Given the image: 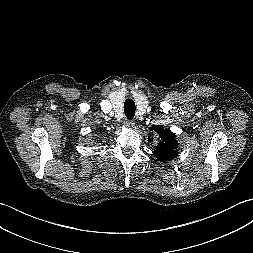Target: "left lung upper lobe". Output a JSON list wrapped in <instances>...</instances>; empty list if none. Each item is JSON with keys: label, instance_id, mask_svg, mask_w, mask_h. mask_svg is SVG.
I'll return each mask as SVG.
<instances>
[{"label": "left lung upper lobe", "instance_id": "left-lung-upper-lobe-1", "mask_svg": "<svg viewBox=\"0 0 253 253\" xmlns=\"http://www.w3.org/2000/svg\"><path fill=\"white\" fill-rule=\"evenodd\" d=\"M160 136V141L155 150L153 151L155 157L159 161H169L174 159L177 156L179 145L178 141L175 139V134L170 130L165 129L162 125H156L151 128ZM153 138H149V141H152Z\"/></svg>", "mask_w": 253, "mask_h": 253}]
</instances>
